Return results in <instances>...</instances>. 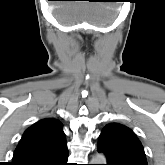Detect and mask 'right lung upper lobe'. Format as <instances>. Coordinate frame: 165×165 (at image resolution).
Listing matches in <instances>:
<instances>
[{"mask_svg":"<svg viewBox=\"0 0 165 165\" xmlns=\"http://www.w3.org/2000/svg\"><path fill=\"white\" fill-rule=\"evenodd\" d=\"M65 140L62 124L52 118L36 122L23 134L11 165H31L50 153L53 146Z\"/></svg>","mask_w":165,"mask_h":165,"instance_id":"cb5924a9","label":"right lung upper lobe"}]
</instances>
